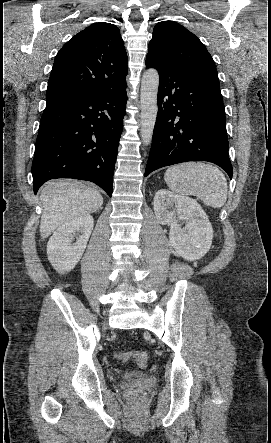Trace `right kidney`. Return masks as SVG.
<instances>
[{"instance_id": "1", "label": "right kidney", "mask_w": 271, "mask_h": 443, "mask_svg": "<svg viewBox=\"0 0 271 443\" xmlns=\"http://www.w3.org/2000/svg\"><path fill=\"white\" fill-rule=\"evenodd\" d=\"M94 220L90 214L77 216L70 222L62 223L51 235L47 243L50 263L58 273L71 271L80 261L87 241L92 233ZM75 243H72L75 239Z\"/></svg>"}]
</instances>
